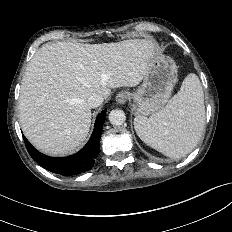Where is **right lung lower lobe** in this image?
<instances>
[{
    "mask_svg": "<svg viewBox=\"0 0 232 232\" xmlns=\"http://www.w3.org/2000/svg\"><path fill=\"white\" fill-rule=\"evenodd\" d=\"M106 118V109L102 111L95 122L94 130L90 140L74 155L54 158L43 155L37 151L31 143L23 136L26 148L30 156L45 169L60 175H76L90 170L100 151V137Z\"/></svg>",
    "mask_w": 232,
    "mask_h": 232,
    "instance_id": "98d812e1",
    "label": "right lung lower lobe"
}]
</instances>
